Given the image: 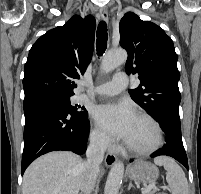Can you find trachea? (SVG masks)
I'll use <instances>...</instances> for the list:
<instances>
[{
	"instance_id": "3493384b",
	"label": "trachea",
	"mask_w": 201,
	"mask_h": 194,
	"mask_svg": "<svg viewBox=\"0 0 201 194\" xmlns=\"http://www.w3.org/2000/svg\"><path fill=\"white\" fill-rule=\"evenodd\" d=\"M97 39H96V48H97V55L102 56L107 48V26L105 21H101L97 28Z\"/></svg>"
}]
</instances>
